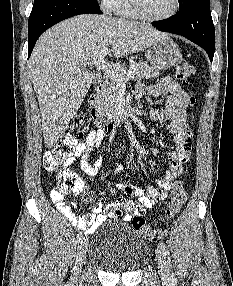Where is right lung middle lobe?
Returning a JSON list of instances; mask_svg holds the SVG:
<instances>
[{
  "mask_svg": "<svg viewBox=\"0 0 233 286\" xmlns=\"http://www.w3.org/2000/svg\"><path fill=\"white\" fill-rule=\"evenodd\" d=\"M44 1L45 0H34V7L40 5ZM85 1H87L89 3H92V4L96 5V6H99L98 3H97V0H85Z\"/></svg>",
  "mask_w": 233,
  "mask_h": 286,
  "instance_id": "dd1d6c3e",
  "label": "right lung middle lobe"
}]
</instances>
